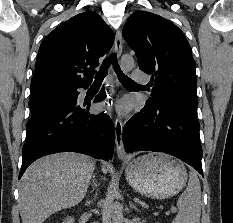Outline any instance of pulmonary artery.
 <instances>
[{
	"instance_id": "e3ab8cb5",
	"label": "pulmonary artery",
	"mask_w": 233,
	"mask_h": 223,
	"mask_svg": "<svg viewBox=\"0 0 233 223\" xmlns=\"http://www.w3.org/2000/svg\"><path fill=\"white\" fill-rule=\"evenodd\" d=\"M131 79H140L139 81L141 83H147L149 79V74H145L144 70H132Z\"/></svg>"
}]
</instances>
